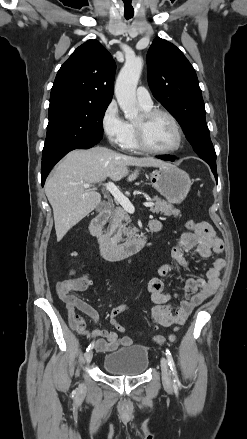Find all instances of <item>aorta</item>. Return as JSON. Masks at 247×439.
I'll use <instances>...</instances> for the list:
<instances>
[{"instance_id":"obj_1","label":"aorta","mask_w":247,"mask_h":439,"mask_svg":"<svg viewBox=\"0 0 247 439\" xmlns=\"http://www.w3.org/2000/svg\"><path fill=\"white\" fill-rule=\"evenodd\" d=\"M143 68V60L138 57L127 58L119 72L115 85V95L126 119L137 118L136 87Z\"/></svg>"}]
</instances>
